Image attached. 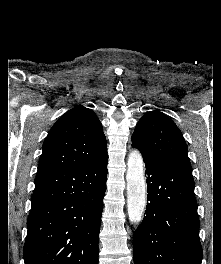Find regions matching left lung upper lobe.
Listing matches in <instances>:
<instances>
[{
    "instance_id": "left-lung-upper-lobe-1",
    "label": "left lung upper lobe",
    "mask_w": 221,
    "mask_h": 264,
    "mask_svg": "<svg viewBox=\"0 0 221 264\" xmlns=\"http://www.w3.org/2000/svg\"><path fill=\"white\" fill-rule=\"evenodd\" d=\"M132 143L146 160L187 172L192 170L181 131L158 110L146 113L139 120L132 135Z\"/></svg>"
}]
</instances>
